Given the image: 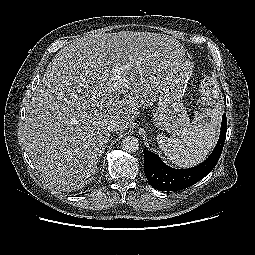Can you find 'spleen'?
Listing matches in <instances>:
<instances>
[{"label": "spleen", "mask_w": 255, "mask_h": 255, "mask_svg": "<svg viewBox=\"0 0 255 255\" xmlns=\"http://www.w3.org/2000/svg\"><path fill=\"white\" fill-rule=\"evenodd\" d=\"M210 117V121L208 118ZM221 113H197L193 121V132L180 138L157 135V143L169 160L180 167H191L203 161L215 144Z\"/></svg>", "instance_id": "3e777b00"}]
</instances>
